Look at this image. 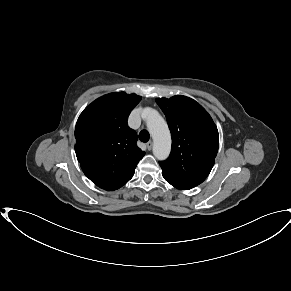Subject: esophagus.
I'll return each mask as SVG.
<instances>
[{"mask_svg": "<svg viewBox=\"0 0 291 291\" xmlns=\"http://www.w3.org/2000/svg\"><path fill=\"white\" fill-rule=\"evenodd\" d=\"M152 145H153L152 141L147 142V143H146V147H147V149H148V150H151V149H152Z\"/></svg>", "mask_w": 291, "mask_h": 291, "instance_id": "esophagus-1", "label": "esophagus"}]
</instances>
